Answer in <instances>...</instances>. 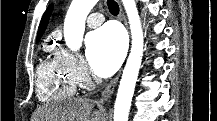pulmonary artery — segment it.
I'll use <instances>...</instances> for the list:
<instances>
[{"mask_svg":"<svg viewBox=\"0 0 217 121\" xmlns=\"http://www.w3.org/2000/svg\"><path fill=\"white\" fill-rule=\"evenodd\" d=\"M104 21V16L99 12H94L89 15L87 18V25L90 28H96L102 24Z\"/></svg>","mask_w":217,"mask_h":121,"instance_id":"pulmonary-artery-1","label":"pulmonary artery"}]
</instances>
